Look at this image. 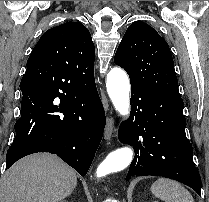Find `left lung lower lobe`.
Wrapping results in <instances>:
<instances>
[{
	"label": "left lung lower lobe",
	"mask_w": 209,
	"mask_h": 202,
	"mask_svg": "<svg viewBox=\"0 0 209 202\" xmlns=\"http://www.w3.org/2000/svg\"><path fill=\"white\" fill-rule=\"evenodd\" d=\"M183 107L181 97L131 84L130 118L118 131L119 140L135 151L126 180L162 176L184 183L201 195V178L185 134Z\"/></svg>",
	"instance_id": "left-lung-lower-lobe-1"
}]
</instances>
